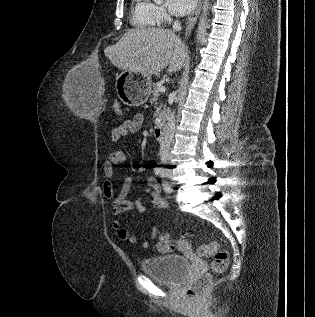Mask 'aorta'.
<instances>
[{
    "instance_id": "obj_1",
    "label": "aorta",
    "mask_w": 315,
    "mask_h": 317,
    "mask_svg": "<svg viewBox=\"0 0 315 317\" xmlns=\"http://www.w3.org/2000/svg\"><path fill=\"white\" fill-rule=\"evenodd\" d=\"M155 2H160L162 0H154ZM208 0H204L203 8H202V15L199 20L197 34H196V41L199 43L203 38V35L206 30V20H207V11H208Z\"/></svg>"
}]
</instances>
